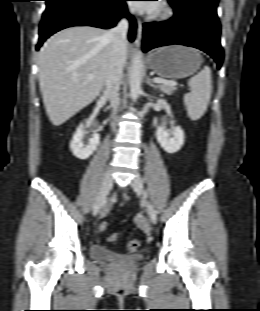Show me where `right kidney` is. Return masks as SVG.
I'll use <instances>...</instances> for the list:
<instances>
[{
    "mask_svg": "<svg viewBox=\"0 0 260 311\" xmlns=\"http://www.w3.org/2000/svg\"><path fill=\"white\" fill-rule=\"evenodd\" d=\"M89 125H90L89 121H86L85 125L81 124L77 128L70 143V149L73 155L80 160H85L89 158L93 154V152L96 150L97 146L99 145V134L96 132L89 139L88 145L83 144L82 140L86 134L85 128Z\"/></svg>",
    "mask_w": 260,
    "mask_h": 311,
    "instance_id": "1",
    "label": "right kidney"
}]
</instances>
